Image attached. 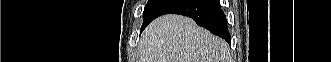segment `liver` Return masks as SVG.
Wrapping results in <instances>:
<instances>
[{
  "instance_id": "1",
  "label": "liver",
  "mask_w": 331,
  "mask_h": 62,
  "mask_svg": "<svg viewBox=\"0 0 331 62\" xmlns=\"http://www.w3.org/2000/svg\"><path fill=\"white\" fill-rule=\"evenodd\" d=\"M141 62H227V43L191 18L165 15L155 19L139 43Z\"/></svg>"
}]
</instances>
